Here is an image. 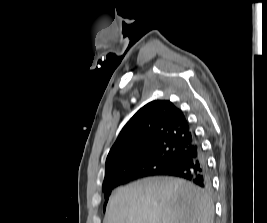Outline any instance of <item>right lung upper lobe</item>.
Here are the masks:
<instances>
[{"mask_svg":"<svg viewBox=\"0 0 267 223\" xmlns=\"http://www.w3.org/2000/svg\"><path fill=\"white\" fill-rule=\"evenodd\" d=\"M195 139L179 108L170 101H152L135 113L121 130L107 156L105 180L131 171L134 161L151 156L158 147L175 145L185 150Z\"/></svg>","mask_w":267,"mask_h":223,"instance_id":"1","label":"right lung upper lobe"}]
</instances>
